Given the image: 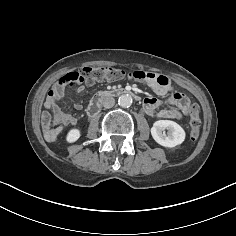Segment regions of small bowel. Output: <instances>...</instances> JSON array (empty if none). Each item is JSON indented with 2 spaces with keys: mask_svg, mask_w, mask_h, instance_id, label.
Listing matches in <instances>:
<instances>
[{
  "mask_svg": "<svg viewBox=\"0 0 236 236\" xmlns=\"http://www.w3.org/2000/svg\"><path fill=\"white\" fill-rule=\"evenodd\" d=\"M143 72V71H140ZM147 75L144 82L158 96H165L172 90L171 81L167 76L155 73L143 72ZM131 78H133L130 75ZM84 87L77 89L78 94H82ZM60 97L50 94L44 102V111L41 116L44 137L48 142H55L68 126L75 125L77 119L71 113L61 110L58 101ZM160 102L153 97L145 98L143 106L147 114L165 118V119H181L189 114L190 101L179 92H174L172 97L164 102V107L159 109ZM74 107L77 110L82 109V103L76 101Z\"/></svg>",
  "mask_w": 236,
  "mask_h": 236,
  "instance_id": "1",
  "label": "small bowel"
}]
</instances>
